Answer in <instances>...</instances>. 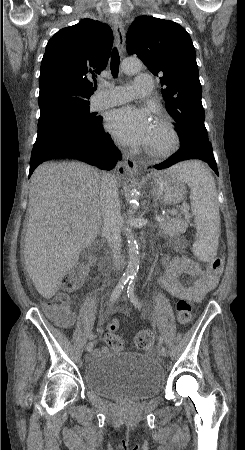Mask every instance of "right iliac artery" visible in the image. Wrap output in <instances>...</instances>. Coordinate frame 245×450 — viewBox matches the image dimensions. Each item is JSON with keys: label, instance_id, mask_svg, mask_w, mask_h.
Returning <instances> with one entry per match:
<instances>
[{"label": "right iliac artery", "instance_id": "right-iliac-artery-1", "mask_svg": "<svg viewBox=\"0 0 245 450\" xmlns=\"http://www.w3.org/2000/svg\"><path fill=\"white\" fill-rule=\"evenodd\" d=\"M131 278V276L129 275H123L119 281V283L117 284V286L115 287V289L113 290L112 294H111V298L110 301L114 302L121 294L122 290L124 289L125 285L127 284V282L129 281V279ZM94 337V334H91L89 339L92 340Z\"/></svg>", "mask_w": 245, "mask_h": 450}]
</instances>
